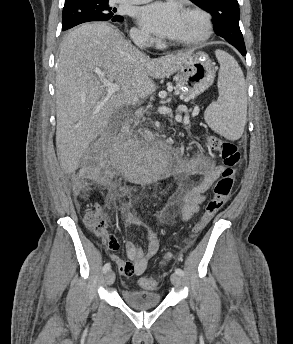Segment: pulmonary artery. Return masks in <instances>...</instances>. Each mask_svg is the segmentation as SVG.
I'll return each instance as SVG.
<instances>
[{
    "mask_svg": "<svg viewBox=\"0 0 293 344\" xmlns=\"http://www.w3.org/2000/svg\"><path fill=\"white\" fill-rule=\"evenodd\" d=\"M120 1L129 3V4H143V3L149 2L151 0H120Z\"/></svg>",
    "mask_w": 293,
    "mask_h": 344,
    "instance_id": "1",
    "label": "pulmonary artery"
}]
</instances>
